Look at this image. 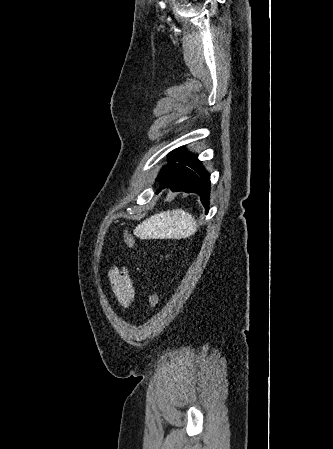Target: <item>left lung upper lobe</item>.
Masks as SVG:
<instances>
[{
  "label": "left lung upper lobe",
  "mask_w": 333,
  "mask_h": 449,
  "mask_svg": "<svg viewBox=\"0 0 333 449\" xmlns=\"http://www.w3.org/2000/svg\"><path fill=\"white\" fill-rule=\"evenodd\" d=\"M182 149H183V147L177 148V149L171 151L167 155L169 164L162 169L157 180L162 179L163 177L169 175L176 168H178L182 163H184L186 161V159L189 157L190 153L182 154L181 153Z\"/></svg>",
  "instance_id": "obj_1"
}]
</instances>
